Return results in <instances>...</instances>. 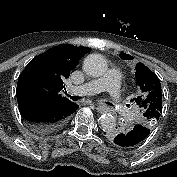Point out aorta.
I'll list each match as a JSON object with an SVG mask.
<instances>
[{"label":"aorta","instance_id":"1","mask_svg":"<svg viewBox=\"0 0 177 177\" xmlns=\"http://www.w3.org/2000/svg\"><path fill=\"white\" fill-rule=\"evenodd\" d=\"M108 65L106 59L101 54H90L83 62L84 71L92 77H100L107 71ZM101 128L106 131H112L116 127V118L112 114H103L100 118Z\"/></svg>","mask_w":177,"mask_h":177}]
</instances>
